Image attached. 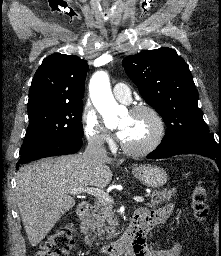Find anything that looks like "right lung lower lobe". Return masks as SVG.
<instances>
[{
    "instance_id": "1",
    "label": "right lung lower lobe",
    "mask_w": 221,
    "mask_h": 256,
    "mask_svg": "<svg viewBox=\"0 0 221 256\" xmlns=\"http://www.w3.org/2000/svg\"><path fill=\"white\" fill-rule=\"evenodd\" d=\"M82 143V138L69 137L46 141L21 154L16 168L19 167V164H23L32 160L49 156L76 153L81 148Z\"/></svg>"
}]
</instances>
